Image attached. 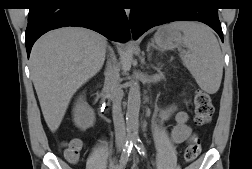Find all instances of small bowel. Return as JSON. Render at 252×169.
<instances>
[{
	"instance_id": "1",
	"label": "small bowel",
	"mask_w": 252,
	"mask_h": 169,
	"mask_svg": "<svg viewBox=\"0 0 252 169\" xmlns=\"http://www.w3.org/2000/svg\"><path fill=\"white\" fill-rule=\"evenodd\" d=\"M175 106H169L161 111V121L168 120L173 114H175L176 125L172 129L171 137L172 140L177 143H185L195 137L190 126L188 125V114L184 111L176 112ZM71 141L81 144L79 139H72ZM121 163L117 159H113L109 164V169H120Z\"/></svg>"
}]
</instances>
